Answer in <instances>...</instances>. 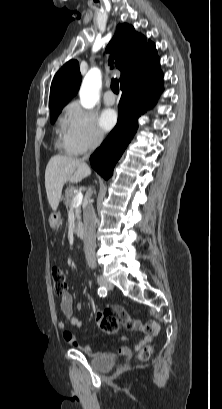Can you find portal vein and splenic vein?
<instances>
[{
    "mask_svg": "<svg viewBox=\"0 0 222 409\" xmlns=\"http://www.w3.org/2000/svg\"><path fill=\"white\" fill-rule=\"evenodd\" d=\"M82 199H83V194L81 192L76 193L72 201L73 206H79L82 203Z\"/></svg>",
    "mask_w": 222,
    "mask_h": 409,
    "instance_id": "18ae733b",
    "label": "portal vein and splenic vein"
}]
</instances>
